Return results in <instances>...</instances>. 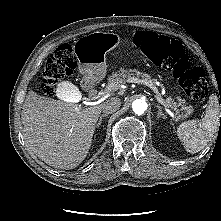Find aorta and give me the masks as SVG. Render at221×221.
I'll return each instance as SVG.
<instances>
[{"mask_svg":"<svg viewBox=\"0 0 221 221\" xmlns=\"http://www.w3.org/2000/svg\"><path fill=\"white\" fill-rule=\"evenodd\" d=\"M147 102L143 99H136L132 102V109L136 114H142L147 110Z\"/></svg>","mask_w":221,"mask_h":221,"instance_id":"obj_1","label":"aorta"}]
</instances>
